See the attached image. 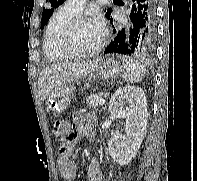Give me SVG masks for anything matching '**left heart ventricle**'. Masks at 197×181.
Instances as JSON below:
<instances>
[{
    "mask_svg": "<svg viewBox=\"0 0 197 181\" xmlns=\"http://www.w3.org/2000/svg\"><path fill=\"white\" fill-rule=\"evenodd\" d=\"M100 38L101 31L91 21H86L76 27L72 38V46L76 51L87 52L97 46Z\"/></svg>",
    "mask_w": 197,
    "mask_h": 181,
    "instance_id": "obj_1",
    "label": "left heart ventricle"
}]
</instances>
